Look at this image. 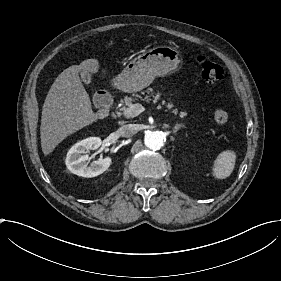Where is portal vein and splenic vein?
Masks as SVG:
<instances>
[{
  "label": "portal vein and splenic vein",
  "mask_w": 281,
  "mask_h": 281,
  "mask_svg": "<svg viewBox=\"0 0 281 281\" xmlns=\"http://www.w3.org/2000/svg\"><path fill=\"white\" fill-rule=\"evenodd\" d=\"M144 110L145 108L141 104L136 103V104H131L128 108H124L123 114L127 118L136 117Z\"/></svg>",
  "instance_id": "obj_1"
}]
</instances>
